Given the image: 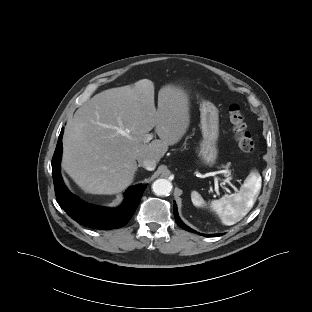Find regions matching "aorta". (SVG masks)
I'll return each mask as SVG.
<instances>
[{"instance_id": "obj_1", "label": "aorta", "mask_w": 312, "mask_h": 312, "mask_svg": "<svg viewBox=\"0 0 312 312\" xmlns=\"http://www.w3.org/2000/svg\"><path fill=\"white\" fill-rule=\"evenodd\" d=\"M152 190L157 196L167 195L172 190V184L167 179H157L152 184Z\"/></svg>"}]
</instances>
